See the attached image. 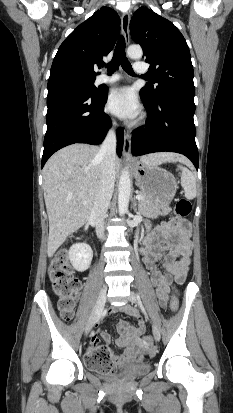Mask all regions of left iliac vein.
Returning a JSON list of instances; mask_svg holds the SVG:
<instances>
[{
	"label": "left iliac vein",
	"mask_w": 233,
	"mask_h": 413,
	"mask_svg": "<svg viewBox=\"0 0 233 413\" xmlns=\"http://www.w3.org/2000/svg\"><path fill=\"white\" fill-rule=\"evenodd\" d=\"M129 300L134 304H138V305L140 304L138 297L133 292L130 293ZM152 330H153L154 339L157 342L160 341L161 334H160L159 328L156 325H153Z\"/></svg>",
	"instance_id": "obj_1"
}]
</instances>
